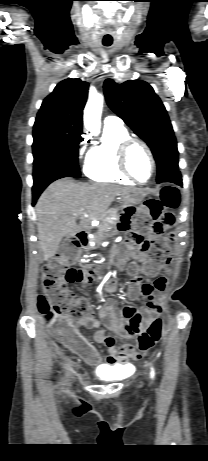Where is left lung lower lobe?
Instances as JSON below:
<instances>
[{
    "label": "left lung lower lobe",
    "mask_w": 208,
    "mask_h": 461,
    "mask_svg": "<svg viewBox=\"0 0 208 461\" xmlns=\"http://www.w3.org/2000/svg\"><path fill=\"white\" fill-rule=\"evenodd\" d=\"M160 182H171V183H175L177 185L182 186V178H181L180 171L177 170V171L167 175L166 177L160 179L159 183Z\"/></svg>",
    "instance_id": "obj_1"
}]
</instances>
